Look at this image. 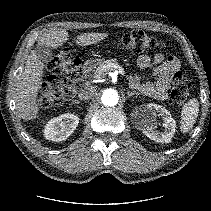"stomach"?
Listing matches in <instances>:
<instances>
[{"label":"stomach","mask_w":211,"mask_h":211,"mask_svg":"<svg viewBox=\"0 0 211 211\" xmlns=\"http://www.w3.org/2000/svg\"><path fill=\"white\" fill-rule=\"evenodd\" d=\"M98 61V63H100L101 62V60L99 59V60H97Z\"/></svg>","instance_id":"obj_1"}]
</instances>
